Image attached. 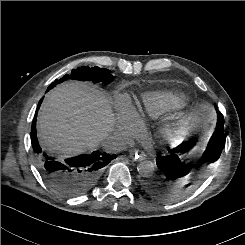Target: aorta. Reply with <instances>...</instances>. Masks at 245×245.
<instances>
[{
  "mask_svg": "<svg viewBox=\"0 0 245 245\" xmlns=\"http://www.w3.org/2000/svg\"><path fill=\"white\" fill-rule=\"evenodd\" d=\"M154 163L149 160H144L140 162L137 166L138 173L143 177H149L154 172Z\"/></svg>",
  "mask_w": 245,
  "mask_h": 245,
  "instance_id": "aorta-1",
  "label": "aorta"
}]
</instances>
